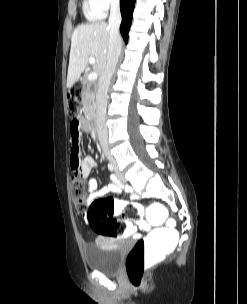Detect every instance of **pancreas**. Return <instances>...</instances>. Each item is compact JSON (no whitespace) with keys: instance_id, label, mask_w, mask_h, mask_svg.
I'll use <instances>...</instances> for the list:
<instances>
[{"instance_id":"cf45deb5","label":"pancreas","mask_w":247,"mask_h":304,"mask_svg":"<svg viewBox=\"0 0 247 304\" xmlns=\"http://www.w3.org/2000/svg\"><path fill=\"white\" fill-rule=\"evenodd\" d=\"M85 86H88V89L83 88L81 93L83 111L85 115L91 116L95 111V94L90 90L88 83H85Z\"/></svg>"}]
</instances>
